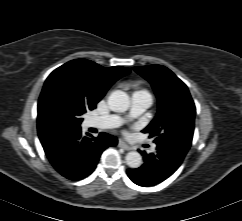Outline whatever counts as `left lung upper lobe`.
I'll return each mask as SVG.
<instances>
[{
    "label": "left lung upper lobe",
    "instance_id": "left-lung-upper-lobe-1",
    "mask_svg": "<svg viewBox=\"0 0 242 221\" xmlns=\"http://www.w3.org/2000/svg\"><path fill=\"white\" fill-rule=\"evenodd\" d=\"M148 80L158 99V112L144 133L157 145H170L188 152L193 138L196 109L187 86L161 65L133 67Z\"/></svg>",
    "mask_w": 242,
    "mask_h": 221
}]
</instances>
